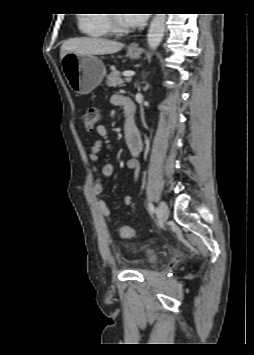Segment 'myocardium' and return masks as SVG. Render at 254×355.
<instances>
[{
	"mask_svg": "<svg viewBox=\"0 0 254 355\" xmlns=\"http://www.w3.org/2000/svg\"><path fill=\"white\" fill-rule=\"evenodd\" d=\"M110 30L113 34L123 35L130 32V29L123 25L118 15H109Z\"/></svg>",
	"mask_w": 254,
	"mask_h": 355,
	"instance_id": "f54148a6",
	"label": "myocardium"
}]
</instances>
